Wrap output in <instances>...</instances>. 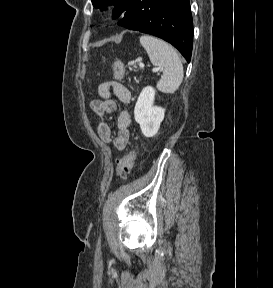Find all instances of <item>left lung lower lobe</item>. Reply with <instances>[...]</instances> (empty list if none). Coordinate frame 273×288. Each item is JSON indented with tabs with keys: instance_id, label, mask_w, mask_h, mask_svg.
<instances>
[{
	"instance_id": "1",
	"label": "left lung lower lobe",
	"mask_w": 273,
	"mask_h": 288,
	"mask_svg": "<svg viewBox=\"0 0 273 288\" xmlns=\"http://www.w3.org/2000/svg\"><path fill=\"white\" fill-rule=\"evenodd\" d=\"M118 24L164 39L190 62L193 23L189 0H134Z\"/></svg>"
}]
</instances>
